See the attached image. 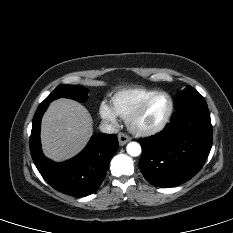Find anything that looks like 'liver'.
Listing matches in <instances>:
<instances>
[{
    "label": "liver",
    "mask_w": 233,
    "mask_h": 233,
    "mask_svg": "<svg viewBox=\"0 0 233 233\" xmlns=\"http://www.w3.org/2000/svg\"><path fill=\"white\" fill-rule=\"evenodd\" d=\"M92 124L88 110L80 103L64 98L53 101L42 118L44 154L54 161L72 158L92 136Z\"/></svg>",
    "instance_id": "obj_1"
}]
</instances>
